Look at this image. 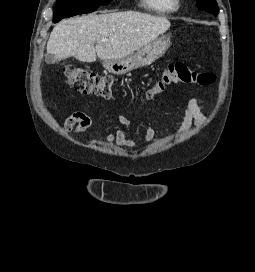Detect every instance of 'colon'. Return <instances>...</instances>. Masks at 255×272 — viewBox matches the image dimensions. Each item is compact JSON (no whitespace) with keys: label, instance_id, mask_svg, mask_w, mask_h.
Wrapping results in <instances>:
<instances>
[{"label":"colon","instance_id":"colon-1","mask_svg":"<svg viewBox=\"0 0 255 272\" xmlns=\"http://www.w3.org/2000/svg\"><path fill=\"white\" fill-rule=\"evenodd\" d=\"M68 84L76 91L109 98L112 95L113 77L109 74H98L85 68H68L64 72ZM215 80L211 72L191 69L184 63L166 65L158 80L146 93V99H152L173 85H209Z\"/></svg>","mask_w":255,"mask_h":272}]
</instances>
